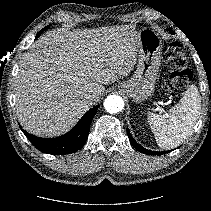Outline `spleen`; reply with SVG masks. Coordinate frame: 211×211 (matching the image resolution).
<instances>
[{"mask_svg": "<svg viewBox=\"0 0 211 211\" xmlns=\"http://www.w3.org/2000/svg\"><path fill=\"white\" fill-rule=\"evenodd\" d=\"M200 110L201 96L197 87L191 85L169 113H148V122L158 146L170 149L183 143L193 133Z\"/></svg>", "mask_w": 211, "mask_h": 211, "instance_id": "3e777b00", "label": "spleen"}]
</instances>
